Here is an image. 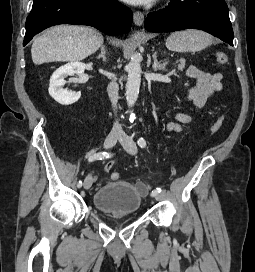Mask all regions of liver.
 <instances>
[{
    "instance_id": "liver-1",
    "label": "liver",
    "mask_w": 255,
    "mask_h": 272,
    "mask_svg": "<svg viewBox=\"0 0 255 272\" xmlns=\"http://www.w3.org/2000/svg\"><path fill=\"white\" fill-rule=\"evenodd\" d=\"M103 36L91 27L59 25L37 37L31 48L35 65L55 61L76 62L95 53Z\"/></svg>"
}]
</instances>
